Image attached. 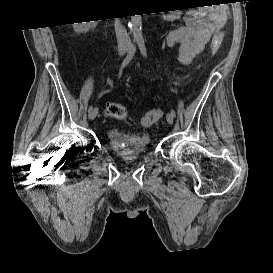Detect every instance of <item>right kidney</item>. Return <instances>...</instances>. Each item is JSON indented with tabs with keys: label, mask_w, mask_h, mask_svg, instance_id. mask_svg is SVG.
Listing matches in <instances>:
<instances>
[{
	"label": "right kidney",
	"mask_w": 273,
	"mask_h": 273,
	"mask_svg": "<svg viewBox=\"0 0 273 273\" xmlns=\"http://www.w3.org/2000/svg\"><path fill=\"white\" fill-rule=\"evenodd\" d=\"M94 26H96L95 21H91L90 23H86V22L75 23L74 30L79 33H84V32H87L91 27H94Z\"/></svg>",
	"instance_id": "obj_1"
}]
</instances>
